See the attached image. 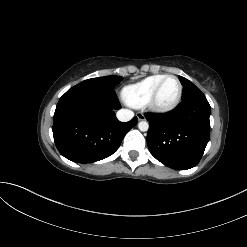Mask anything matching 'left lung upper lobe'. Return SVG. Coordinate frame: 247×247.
<instances>
[{
	"mask_svg": "<svg viewBox=\"0 0 247 247\" xmlns=\"http://www.w3.org/2000/svg\"><path fill=\"white\" fill-rule=\"evenodd\" d=\"M181 84L184 86L182 91V100H186L190 96L194 95L197 92H201L191 81L188 79L179 76L178 77Z\"/></svg>",
	"mask_w": 247,
	"mask_h": 247,
	"instance_id": "1",
	"label": "left lung upper lobe"
}]
</instances>
